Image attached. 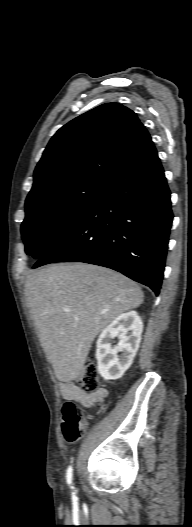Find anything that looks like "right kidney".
<instances>
[{"label": "right kidney", "mask_w": 192, "mask_h": 527, "mask_svg": "<svg viewBox=\"0 0 192 527\" xmlns=\"http://www.w3.org/2000/svg\"><path fill=\"white\" fill-rule=\"evenodd\" d=\"M142 331V320L135 311L121 314L103 329L97 340L96 359L98 372L105 380L119 379L131 366ZM115 337L119 338V343L112 347L111 341ZM119 352L121 356H118Z\"/></svg>", "instance_id": "1"}]
</instances>
